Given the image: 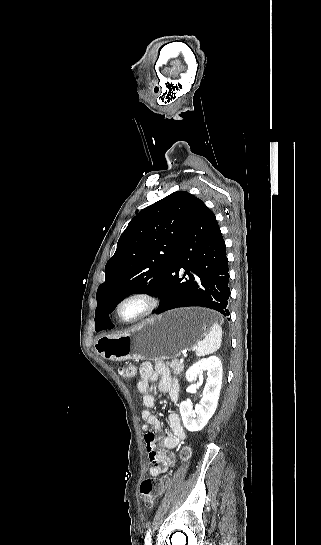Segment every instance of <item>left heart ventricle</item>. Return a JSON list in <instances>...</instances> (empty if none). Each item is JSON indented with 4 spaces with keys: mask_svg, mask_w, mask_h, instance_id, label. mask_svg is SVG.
Returning <instances> with one entry per match:
<instances>
[{
    "mask_svg": "<svg viewBox=\"0 0 321 545\" xmlns=\"http://www.w3.org/2000/svg\"><path fill=\"white\" fill-rule=\"evenodd\" d=\"M140 310V307L138 305H127L123 308L122 313L126 317H133L135 316Z\"/></svg>",
    "mask_w": 321,
    "mask_h": 545,
    "instance_id": "obj_1",
    "label": "left heart ventricle"
}]
</instances>
